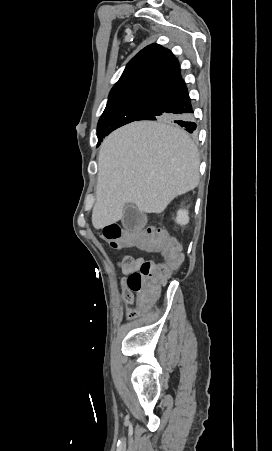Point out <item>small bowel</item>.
Masks as SVG:
<instances>
[{"instance_id":"obj_1","label":"small bowel","mask_w":272,"mask_h":451,"mask_svg":"<svg viewBox=\"0 0 272 451\" xmlns=\"http://www.w3.org/2000/svg\"><path fill=\"white\" fill-rule=\"evenodd\" d=\"M119 267H120V264H119ZM121 272L125 275V277L121 280L122 297L126 301V303H128V304H136V308H134V309H127V311H134L136 316H138L139 314L142 313V311L144 309H138V307H137L138 300H133L132 299V295H128V289H126V280H127V276H128L129 270H121Z\"/></svg>"}]
</instances>
